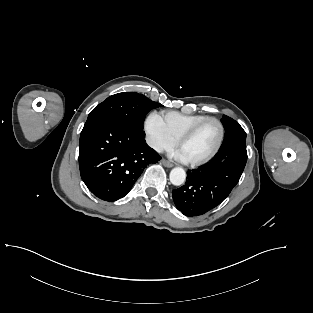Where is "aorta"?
Listing matches in <instances>:
<instances>
[{"mask_svg":"<svg viewBox=\"0 0 313 313\" xmlns=\"http://www.w3.org/2000/svg\"><path fill=\"white\" fill-rule=\"evenodd\" d=\"M170 182L175 186L182 185L186 180V172L181 167H175L171 170L170 175Z\"/></svg>","mask_w":313,"mask_h":313,"instance_id":"aorta-1","label":"aorta"}]
</instances>
